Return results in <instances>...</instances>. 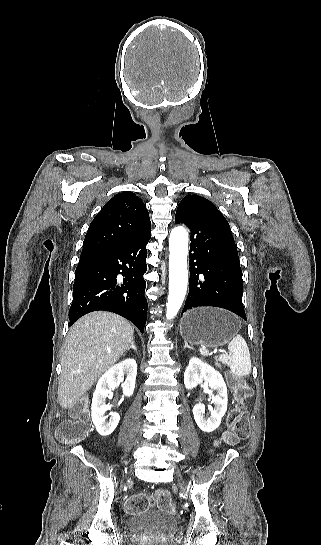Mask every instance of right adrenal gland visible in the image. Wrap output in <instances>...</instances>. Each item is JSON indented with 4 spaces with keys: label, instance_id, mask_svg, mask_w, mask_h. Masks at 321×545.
<instances>
[{
    "label": "right adrenal gland",
    "instance_id": "obj_1",
    "mask_svg": "<svg viewBox=\"0 0 321 545\" xmlns=\"http://www.w3.org/2000/svg\"><path fill=\"white\" fill-rule=\"evenodd\" d=\"M130 349H133V351H137V349H136V347H135V345H134V341H132V343H131L129 349H126V353H128V351H130Z\"/></svg>",
    "mask_w": 321,
    "mask_h": 545
}]
</instances>
